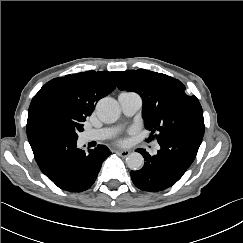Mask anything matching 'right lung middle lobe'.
I'll list each match as a JSON object with an SVG mask.
<instances>
[{
	"label": "right lung middle lobe",
	"mask_w": 243,
	"mask_h": 243,
	"mask_svg": "<svg viewBox=\"0 0 243 243\" xmlns=\"http://www.w3.org/2000/svg\"><path fill=\"white\" fill-rule=\"evenodd\" d=\"M35 119L39 126L53 127L75 139H78V132L83 131L86 120L57 100L39 104L35 109Z\"/></svg>",
	"instance_id": "right-lung-middle-lobe-1"
}]
</instances>
